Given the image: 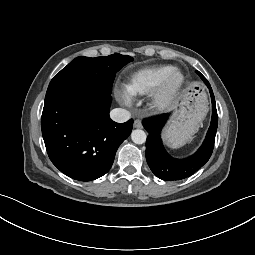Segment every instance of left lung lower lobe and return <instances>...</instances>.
Here are the masks:
<instances>
[{
  "label": "left lung lower lobe",
  "mask_w": 255,
  "mask_h": 255,
  "mask_svg": "<svg viewBox=\"0 0 255 255\" xmlns=\"http://www.w3.org/2000/svg\"><path fill=\"white\" fill-rule=\"evenodd\" d=\"M209 88L212 99V120L206 138L198 151L185 159L171 157L164 149L160 138L161 129L169 114L144 119L142 124L149 135L146 141V160L151 171L165 181L181 180L199 170L210 158L218 126L215 98L209 82L202 79Z\"/></svg>",
  "instance_id": "1"
}]
</instances>
